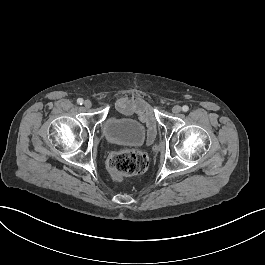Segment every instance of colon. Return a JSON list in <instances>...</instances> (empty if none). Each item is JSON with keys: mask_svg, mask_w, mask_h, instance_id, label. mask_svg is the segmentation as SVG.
<instances>
[{"mask_svg": "<svg viewBox=\"0 0 265 265\" xmlns=\"http://www.w3.org/2000/svg\"><path fill=\"white\" fill-rule=\"evenodd\" d=\"M148 166V155L141 148L126 149L112 154L107 161L109 173L117 180L145 172Z\"/></svg>", "mask_w": 265, "mask_h": 265, "instance_id": "1", "label": "colon"}]
</instances>
